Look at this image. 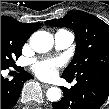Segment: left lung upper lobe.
<instances>
[{
    "instance_id": "obj_1",
    "label": "left lung upper lobe",
    "mask_w": 109,
    "mask_h": 109,
    "mask_svg": "<svg viewBox=\"0 0 109 109\" xmlns=\"http://www.w3.org/2000/svg\"><path fill=\"white\" fill-rule=\"evenodd\" d=\"M54 27H68L76 34V50L64 70L65 77L74 78L93 67L109 68V25L83 11H69L61 19L46 21Z\"/></svg>"
}]
</instances>
